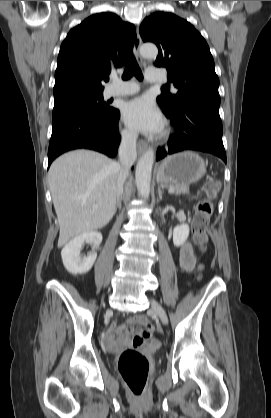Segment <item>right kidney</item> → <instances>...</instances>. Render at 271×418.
<instances>
[{
    "label": "right kidney",
    "instance_id": "1",
    "mask_svg": "<svg viewBox=\"0 0 271 418\" xmlns=\"http://www.w3.org/2000/svg\"><path fill=\"white\" fill-rule=\"evenodd\" d=\"M102 242V234L97 231L83 233L69 243L61 251L64 267L72 274L87 273L96 260L97 254L93 253L88 256H81L80 252L84 243H90L93 247H98Z\"/></svg>",
    "mask_w": 271,
    "mask_h": 418
}]
</instances>
